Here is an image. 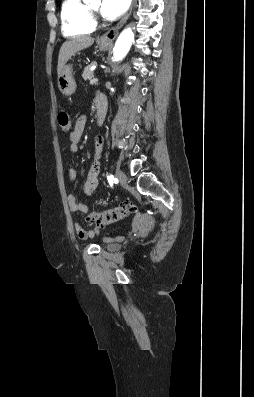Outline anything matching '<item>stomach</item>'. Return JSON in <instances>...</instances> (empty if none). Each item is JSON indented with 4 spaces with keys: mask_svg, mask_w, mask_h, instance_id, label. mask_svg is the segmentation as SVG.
Here are the masks:
<instances>
[{
    "mask_svg": "<svg viewBox=\"0 0 254 397\" xmlns=\"http://www.w3.org/2000/svg\"><path fill=\"white\" fill-rule=\"evenodd\" d=\"M111 43L98 41V47L101 51L107 50ZM58 88L64 95H72L76 90V82L73 77V68L71 64H65L58 75Z\"/></svg>",
    "mask_w": 254,
    "mask_h": 397,
    "instance_id": "0dacf381",
    "label": "stomach"
}]
</instances>
